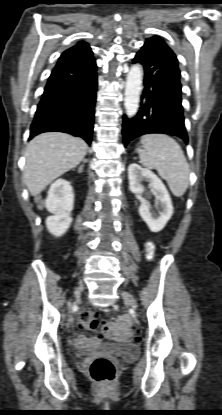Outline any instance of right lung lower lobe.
<instances>
[{
  "instance_id": "right-lung-lower-lobe-1",
  "label": "right lung lower lobe",
  "mask_w": 222,
  "mask_h": 415,
  "mask_svg": "<svg viewBox=\"0 0 222 415\" xmlns=\"http://www.w3.org/2000/svg\"><path fill=\"white\" fill-rule=\"evenodd\" d=\"M93 53L61 56L45 86L30 137L50 131L69 133L91 144L97 92Z\"/></svg>"
}]
</instances>
